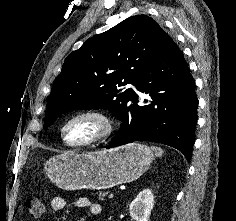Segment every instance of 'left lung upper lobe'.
<instances>
[{"mask_svg":"<svg viewBox=\"0 0 236 221\" xmlns=\"http://www.w3.org/2000/svg\"><path fill=\"white\" fill-rule=\"evenodd\" d=\"M167 33L147 15L129 17L89 38L65 59L47 101L44 129L68 110L109 109L121 120L136 81Z\"/></svg>","mask_w":236,"mask_h":221,"instance_id":"5c2ea615","label":"left lung upper lobe"}]
</instances>
